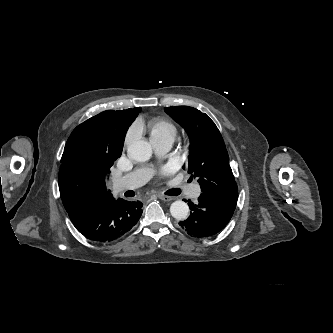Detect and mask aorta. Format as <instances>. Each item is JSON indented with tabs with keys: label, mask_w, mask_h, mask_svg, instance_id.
Instances as JSON below:
<instances>
[{
	"label": "aorta",
	"mask_w": 333,
	"mask_h": 333,
	"mask_svg": "<svg viewBox=\"0 0 333 333\" xmlns=\"http://www.w3.org/2000/svg\"><path fill=\"white\" fill-rule=\"evenodd\" d=\"M127 154L135 161H147L152 156L151 144L144 140L133 141L127 148ZM170 213L175 219L184 220L189 215V207L184 201L177 200L171 204Z\"/></svg>",
	"instance_id": "obj_1"
}]
</instances>
